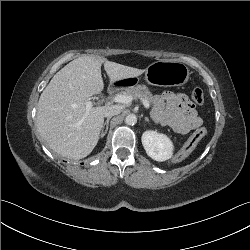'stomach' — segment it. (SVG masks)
Wrapping results in <instances>:
<instances>
[{"label": "stomach", "mask_w": 250, "mask_h": 250, "mask_svg": "<svg viewBox=\"0 0 250 250\" xmlns=\"http://www.w3.org/2000/svg\"><path fill=\"white\" fill-rule=\"evenodd\" d=\"M189 76L188 67L178 61H156L150 64L145 70L146 81L155 86H182L187 83ZM138 80V77H129L120 81H123V86L133 87Z\"/></svg>", "instance_id": "0dacf381"}]
</instances>
